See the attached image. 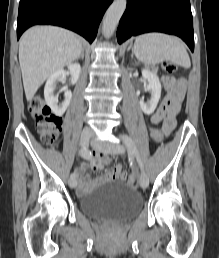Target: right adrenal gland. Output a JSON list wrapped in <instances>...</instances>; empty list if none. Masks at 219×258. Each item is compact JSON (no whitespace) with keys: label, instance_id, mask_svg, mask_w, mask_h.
<instances>
[{"label":"right adrenal gland","instance_id":"2a0ac1e0","mask_svg":"<svg viewBox=\"0 0 219 258\" xmlns=\"http://www.w3.org/2000/svg\"><path fill=\"white\" fill-rule=\"evenodd\" d=\"M84 59V48L81 51V54L79 55V57L77 59Z\"/></svg>","mask_w":219,"mask_h":258}]
</instances>
